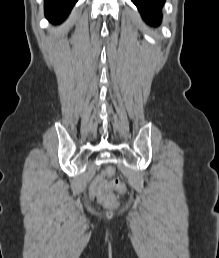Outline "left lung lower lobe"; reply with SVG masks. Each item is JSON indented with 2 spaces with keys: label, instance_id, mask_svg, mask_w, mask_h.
Segmentation results:
<instances>
[{
  "label": "left lung lower lobe",
  "instance_id": "left-lung-lower-lobe-1",
  "mask_svg": "<svg viewBox=\"0 0 219 258\" xmlns=\"http://www.w3.org/2000/svg\"><path fill=\"white\" fill-rule=\"evenodd\" d=\"M138 7L143 19L150 25H158L161 21V7L165 0H132Z\"/></svg>",
  "mask_w": 219,
  "mask_h": 258
}]
</instances>
